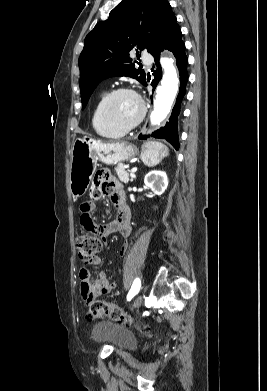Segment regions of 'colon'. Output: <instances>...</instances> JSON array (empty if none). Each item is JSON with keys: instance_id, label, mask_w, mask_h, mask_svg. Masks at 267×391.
<instances>
[{"instance_id": "5ec220e1", "label": "colon", "mask_w": 267, "mask_h": 391, "mask_svg": "<svg viewBox=\"0 0 267 391\" xmlns=\"http://www.w3.org/2000/svg\"><path fill=\"white\" fill-rule=\"evenodd\" d=\"M76 247L78 257L86 266L100 252L102 248V239L98 236L82 233L76 238ZM109 317L114 321L131 322V317L118 305L103 300H96L90 304L87 318L100 319Z\"/></svg>"}]
</instances>
